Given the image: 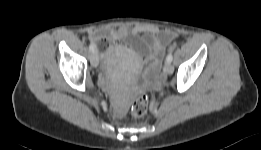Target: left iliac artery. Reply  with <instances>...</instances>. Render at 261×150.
<instances>
[{"label":"left iliac artery","mask_w":261,"mask_h":150,"mask_svg":"<svg viewBox=\"0 0 261 150\" xmlns=\"http://www.w3.org/2000/svg\"><path fill=\"white\" fill-rule=\"evenodd\" d=\"M172 59H173V56H172L171 53H169V54L167 55L166 61L169 62V63H171V62H172Z\"/></svg>","instance_id":"left-iliac-artery-1"}]
</instances>
